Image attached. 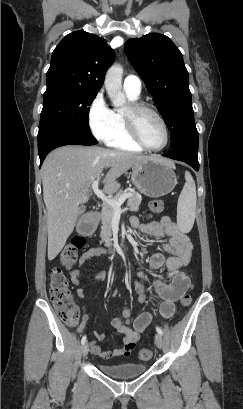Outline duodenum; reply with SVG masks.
Masks as SVG:
<instances>
[{"label": "duodenum", "mask_w": 243, "mask_h": 409, "mask_svg": "<svg viewBox=\"0 0 243 409\" xmlns=\"http://www.w3.org/2000/svg\"><path fill=\"white\" fill-rule=\"evenodd\" d=\"M128 248V246L127 245H122V246H116V247H110L109 248V253H116V252H118V251H123V250H126Z\"/></svg>", "instance_id": "1"}]
</instances>
